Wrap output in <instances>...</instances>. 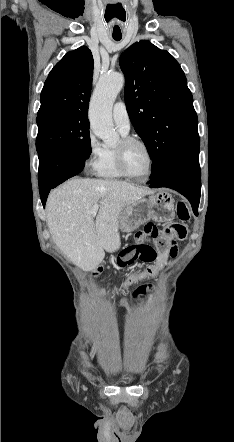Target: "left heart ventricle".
<instances>
[{"label": "left heart ventricle", "mask_w": 234, "mask_h": 442, "mask_svg": "<svg viewBox=\"0 0 234 442\" xmlns=\"http://www.w3.org/2000/svg\"><path fill=\"white\" fill-rule=\"evenodd\" d=\"M126 166L135 176H145L148 172V156L144 148L138 144L130 145L126 150Z\"/></svg>", "instance_id": "left-heart-ventricle-1"}]
</instances>
